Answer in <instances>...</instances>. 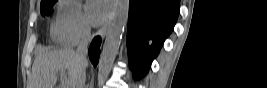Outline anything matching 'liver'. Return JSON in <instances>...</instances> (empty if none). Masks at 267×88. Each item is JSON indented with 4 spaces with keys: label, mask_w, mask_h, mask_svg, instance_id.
I'll return each instance as SVG.
<instances>
[{
    "label": "liver",
    "mask_w": 267,
    "mask_h": 88,
    "mask_svg": "<svg viewBox=\"0 0 267 88\" xmlns=\"http://www.w3.org/2000/svg\"><path fill=\"white\" fill-rule=\"evenodd\" d=\"M88 63L85 67H87ZM81 63L72 49H59L40 54L34 61L29 88H54L57 74L67 70L69 88H76Z\"/></svg>",
    "instance_id": "6515ba94"
}]
</instances>
